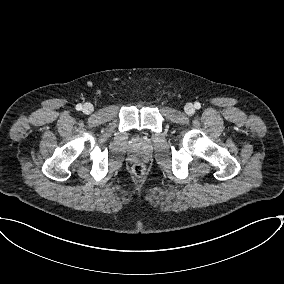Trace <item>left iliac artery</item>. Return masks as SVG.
Listing matches in <instances>:
<instances>
[{
    "label": "left iliac artery",
    "instance_id": "obj_1",
    "mask_svg": "<svg viewBox=\"0 0 284 284\" xmlns=\"http://www.w3.org/2000/svg\"><path fill=\"white\" fill-rule=\"evenodd\" d=\"M194 107H195L196 109H199V108L201 107V104H200L199 102H196V103L194 104Z\"/></svg>",
    "mask_w": 284,
    "mask_h": 284
}]
</instances>
